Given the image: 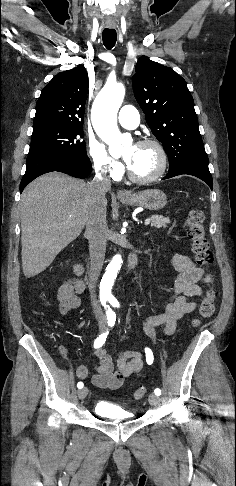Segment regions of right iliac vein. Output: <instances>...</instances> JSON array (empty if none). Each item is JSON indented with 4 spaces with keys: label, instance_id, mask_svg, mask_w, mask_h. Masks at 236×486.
Returning <instances> with one entry per match:
<instances>
[{
    "label": "right iliac vein",
    "instance_id": "63e3f726",
    "mask_svg": "<svg viewBox=\"0 0 236 486\" xmlns=\"http://www.w3.org/2000/svg\"><path fill=\"white\" fill-rule=\"evenodd\" d=\"M105 327V320L104 319H101L99 320V328L100 330H103V328ZM88 394V389L86 387H84L83 389H80L78 390V397L79 399H85V397L87 396Z\"/></svg>",
    "mask_w": 236,
    "mask_h": 486
}]
</instances>
